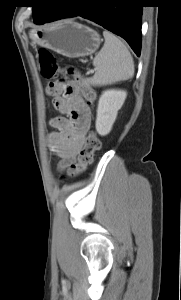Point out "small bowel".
I'll list each match as a JSON object with an SVG mask.
<instances>
[{
    "label": "small bowel",
    "mask_w": 181,
    "mask_h": 300,
    "mask_svg": "<svg viewBox=\"0 0 181 300\" xmlns=\"http://www.w3.org/2000/svg\"><path fill=\"white\" fill-rule=\"evenodd\" d=\"M53 105L65 115L51 119L50 124L55 131L49 134L48 143L60 158L59 167L63 169L74 162L78 155L90 125L91 114L90 109L76 93L55 97Z\"/></svg>",
    "instance_id": "c3829d8e"
}]
</instances>
